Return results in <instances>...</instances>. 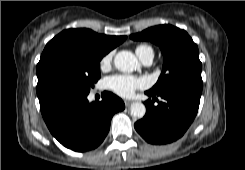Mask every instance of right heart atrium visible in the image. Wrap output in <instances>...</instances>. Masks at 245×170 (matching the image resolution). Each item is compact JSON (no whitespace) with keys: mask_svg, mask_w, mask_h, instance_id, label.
<instances>
[{"mask_svg":"<svg viewBox=\"0 0 245 170\" xmlns=\"http://www.w3.org/2000/svg\"><path fill=\"white\" fill-rule=\"evenodd\" d=\"M112 58H113V53H107L106 55H104L100 61V65L102 68L107 67L111 64L112 62Z\"/></svg>","mask_w":245,"mask_h":170,"instance_id":"right-heart-atrium-1","label":"right heart atrium"}]
</instances>
